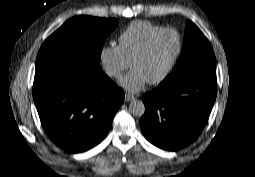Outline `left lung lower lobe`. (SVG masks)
<instances>
[{"label":"left lung lower lobe","instance_id":"left-lung-lower-lobe-1","mask_svg":"<svg viewBox=\"0 0 255 177\" xmlns=\"http://www.w3.org/2000/svg\"><path fill=\"white\" fill-rule=\"evenodd\" d=\"M217 93L216 68H204L160 84L143 95L140 119L144 136L174 151L192 143L207 123Z\"/></svg>","mask_w":255,"mask_h":177}]
</instances>
